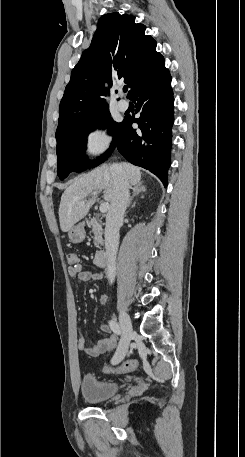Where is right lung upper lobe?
<instances>
[{
    "mask_svg": "<svg viewBox=\"0 0 245 457\" xmlns=\"http://www.w3.org/2000/svg\"><path fill=\"white\" fill-rule=\"evenodd\" d=\"M145 25L118 12L103 15L90 47L71 73L59 106L58 127L108 108L104 83L124 81L131 90L165 68L156 41L145 35ZM57 127V128H58Z\"/></svg>",
    "mask_w": 245,
    "mask_h": 457,
    "instance_id": "cb5924a9",
    "label": "right lung upper lobe"
}]
</instances>
